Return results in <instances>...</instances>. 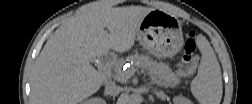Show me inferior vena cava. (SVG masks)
I'll list each match as a JSON object with an SVG mask.
<instances>
[{"instance_id": "602c4592", "label": "inferior vena cava", "mask_w": 252, "mask_h": 104, "mask_svg": "<svg viewBox=\"0 0 252 104\" xmlns=\"http://www.w3.org/2000/svg\"><path fill=\"white\" fill-rule=\"evenodd\" d=\"M122 91V88L120 86L115 85L114 82L107 83L105 87V94L110 96H117Z\"/></svg>"}]
</instances>
